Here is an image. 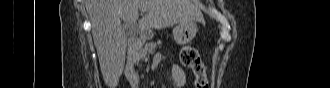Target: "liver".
Masks as SVG:
<instances>
[{
    "label": "liver",
    "instance_id": "obj_1",
    "mask_svg": "<svg viewBox=\"0 0 330 88\" xmlns=\"http://www.w3.org/2000/svg\"><path fill=\"white\" fill-rule=\"evenodd\" d=\"M146 9L140 19L139 10ZM86 10L105 83L116 88L125 65L127 33L122 21L141 31L163 29L179 23L202 21L192 0H87Z\"/></svg>",
    "mask_w": 330,
    "mask_h": 88
}]
</instances>
